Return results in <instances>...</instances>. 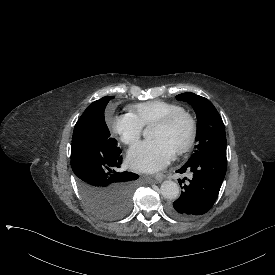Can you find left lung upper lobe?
Here are the masks:
<instances>
[{"label": "left lung upper lobe", "mask_w": 275, "mask_h": 275, "mask_svg": "<svg viewBox=\"0 0 275 275\" xmlns=\"http://www.w3.org/2000/svg\"><path fill=\"white\" fill-rule=\"evenodd\" d=\"M176 98L193 106L197 115V150L187 163L206 156L226 157V136L223 121L213 104L206 98L191 92L179 94Z\"/></svg>", "instance_id": "1"}]
</instances>
